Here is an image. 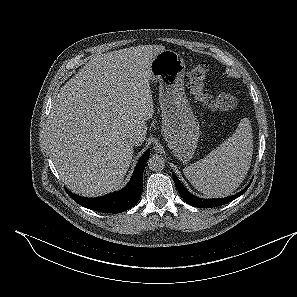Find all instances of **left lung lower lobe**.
Here are the masks:
<instances>
[{
  "instance_id": "left-lung-lower-lobe-1",
  "label": "left lung lower lobe",
  "mask_w": 297,
  "mask_h": 297,
  "mask_svg": "<svg viewBox=\"0 0 297 297\" xmlns=\"http://www.w3.org/2000/svg\"><path fill=\"white\" fill-rule=\"evenodd\" d=\"M173 180L176 184V187L178 189V192L180 193L181 197L190 205L198 208H212L217 207L220 205H224L230 201H233L237 197L241 196L250 186L251 182L239 193L232 195L227 198H218V199H201L194 195H192L190 192H188L185 187L181 184V182L178 180L175 174H173Z\"/></svg>"
}]
</instances>
